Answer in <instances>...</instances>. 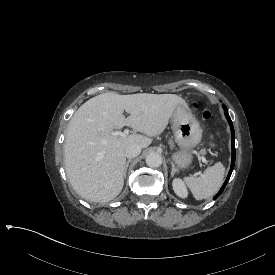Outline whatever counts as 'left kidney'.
Returning a JSON list of instances; mask_svg holds the SVG:
<instances>
[{
  "label": "left kidney",
  "instance_id": "1",
  "mask_svg": "<svg viewBox=\"0 0 275 275\" xmlns=\"http://www.w3.org/2000/svg\"><path fill=\"white\" fill-rule=\"evenodd\" d=\"M172 186H173L174 192L180 198H186L188 196L187 188L181 179L179 178L174 179L172 182Z\"/></svg>",
  "mask_w": 275,
  "mask_h": 275
}]
</instances>
